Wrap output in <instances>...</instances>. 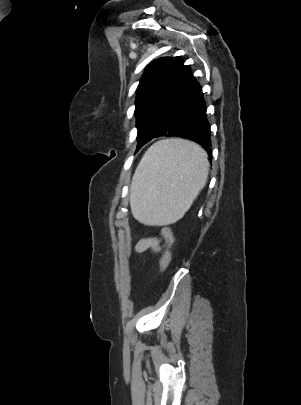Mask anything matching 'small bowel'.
Listing matches in <instances>:
<instances>
[{"mask_svg": "<svg viewBox=\"0 0 301 405\" xmlns=\"http://www.w3.org/2000/svg\"><path fill=\"white\" fill-rule=\"evenodd\" d=\"M135 250L138 253H142L147 250L161 252V242L157 237L143 238L136 244Z\"/></svg>", "mask_w": 301, "mask_h": 405, "instance_id": "c3829d8e", "label": "small bowel"}]
</instances>
